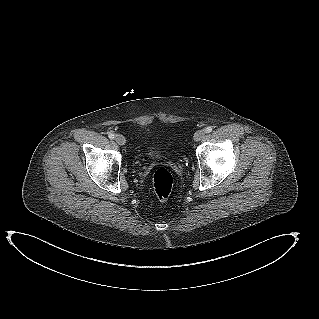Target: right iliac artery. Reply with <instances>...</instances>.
Segmentation results:
<instances>
[{
  "label": "right iliac artery",
  "instance_id": "82829eb1",
  "mask_svg": "<svg viewBox=\"0 0 319 319\" xmlns=\"http://www.w3.org/2000/svg\"><path fill=\"white\" fill-rule=\"evenodd\" d=\"M108 137H109L110 139H114V138H115V135L110 132V133L108 134Z\"/></svg>",
  "mask_w": 319,
  "mask_h": 319
}]
</instances>
